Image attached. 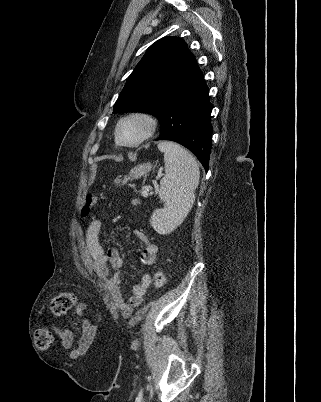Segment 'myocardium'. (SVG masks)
I'll use <instances>...</instances> for the list:
<instances>
[{
  "label": "myocardium",
  "instance_id": "f54148a6",
  "mask_svg": "<svg viewBox=\"0 0 321 402\" xmlns=\"http://www.w3.org/2000/svg\"><path fill=\"white\" fill-rule=\"evenodd\" d=\"M140 121L143 123L144 125V131L141 134L140 137H138L135 141L132 142H122L119 136V130L120 127L129 121ZM157 120L155 119L154 116H152L149 113H145V112H131L128 113L126 115H124L123 117H121L114 129V136H115V141L116 143L121 146V147H126V148H134L137 147L141 144H143L145 141H147L149 138H151L154 133L156 132L157 129Z\"/></svg>",
  "mask_w": 321,
  "mask_h": 402
}]
</instances>
